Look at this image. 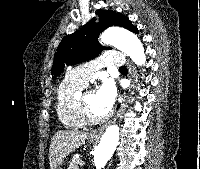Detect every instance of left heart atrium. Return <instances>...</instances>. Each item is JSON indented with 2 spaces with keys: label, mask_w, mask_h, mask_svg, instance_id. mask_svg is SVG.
<instances>
[{
  "label": "left heart atrium",
  "mask_w": 200,
  "mask_h": 169,
  "mask_svg": "<svg viewBox=\"0 0 200 169\" xmlns=\"http://www.w3.org/2000/svg\"><path fill=\"white\" fill-rule=\"evenodd\" d=\"M96 93L101 107L106 114L109 113L116 100L117 90L115 85L111 81H106L100 86Z\"/></svg>",
  "instance_id": "1"
}]
</instances>
